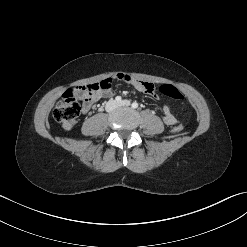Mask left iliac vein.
Instances as JSON below:
<instances>
[{
	"label": "left iliac vein",
	"instance_id": "4c4485c4",
	"mask_svg": "<svg viewBox=\"0 0 247 247\" xmlns=\"http://www.w3.org/2000/svg\"><path fill=\"white\" fill-rule=\"evenodd\" d=\"M118 106H130V101L124 100V101L118 103Z\"/></svg>",
	"mask_w": 247,
	"mask_h": 247
}]
</instances>
